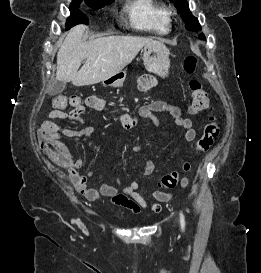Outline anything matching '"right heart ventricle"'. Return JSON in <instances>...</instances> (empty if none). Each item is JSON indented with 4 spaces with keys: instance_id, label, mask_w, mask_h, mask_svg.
I'll use <instances>...</instances> for the list:
<instances>
[{
    "instance_id": "right-heart-ventricle-1",
    "label": "right heart ventricle",
    "mask_w": 261,
    "mask_h": 273,
    "mask_svg": "<svg viewBox=\"0 0 261 273\" xmlns=\"http://www.w3.org/2000/svg\"><path fill=\"white\" fill-rule=\"evenodd\" d=\"M126 10L132 25L138 29L159 34L169 30L168 11L157 0H129Z\"/></svg>"
}]
</instances>
